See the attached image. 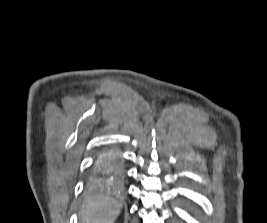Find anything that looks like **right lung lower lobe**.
<instances>
[{
    "label": "right lung lower lobe",
    "instance_id": "obj_1",
    "mask_svg": "<svg viewBox=\"0 0 267 223\" xmlns=\"http://www.w3.org/2000/svg\"><path fill=\"white\" fill-rule=\"evenodd\" d=\"M125 179L124 162L115 150L102 152L95 160L90 186L93 188H118Z\"/></svg>",
    "mask_w": 267,
    "mask_h": 223
}]
</instances>
